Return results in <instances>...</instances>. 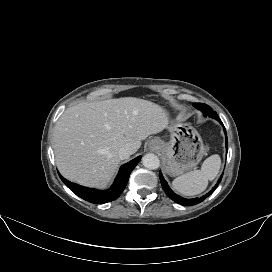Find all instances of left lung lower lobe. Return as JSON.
I'll use <instances>...</instances> for the list:
<instances>
[{
  "instance_id": "1",
  "label": "left lung lower lobe",
  "mask_w": 272,
  "mask_h": 272,
  "mask_svg": "<svg viewBox=\"0 0 272 272\" xmlns=\"http://www.w3.org/2000/svg\"><path fill=\"white\" fill-rule=\"evenodd\" d=\"M216 120H218L221 124V120L219 119L218 115L212 117ZM223 125V124H222ZM224 132H225V135L226 134V130L224 128ZM228 150V140H227V136H226V152ZM159 178H160V181H161V185H162V188L163 190L165 191V193L167 194V196L172 199L174 202L178 203V204H181L183 206H191V205H195V204H198L202 201H204L209 195H211L213 193V191L217 188L218 184L220 183L221 181V178L223 176V174L221 175L220 179L218 180L217 184L213 187L212 190H210L207 194H205L204 196L200 197V198H194V199H185V198H182L181 196H178L177 194H175L171 189L170 187L168 186L167 182L165 181L164 177L162 176L161 172L159 173Z\"/></svg>"
}]
</instances>
